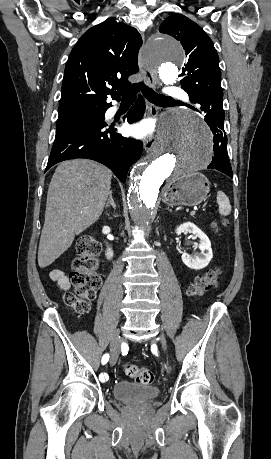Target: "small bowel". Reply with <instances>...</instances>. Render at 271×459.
<instances>
[{
  "label": "small bowel",
  "instance_id": "1",
  "mask_svg": "<svg viewBox=\"0 0 271 459\" xmlns=\"http://www.w3.org/2000/svg\"><path fill=\"white\" fill-rule=\"evenodd\" d=\"M50 278L63 290H67L70 287V282L67 276L58 269L50 272Z\"/></svg>",
  "mask_w": 271,
  "mask_h": 459
}]
</instances>
